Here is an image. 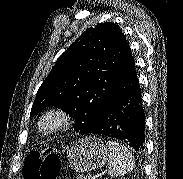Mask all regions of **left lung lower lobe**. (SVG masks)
Returning <instances> with one entry per match:
<instances>
[{
    "label": "left lung lower lobe",
    "mask_w": 183,
    "mask_h": 179,
    "mask_svg": "<svg viewBox=\"0 0 183 179\" xmlns=\"http://www.w3.org/2000/svg\"><path fill=\"white\" fill-rule=\"evenodd\" d=\"M145 115L140 85L129 44L123 56L111 100L89 134L112 137L136 151L144 144Z\"/></svg>",
    "instance_id": "left-lung-lower-lobe-1"
}]
</instances>
